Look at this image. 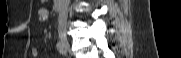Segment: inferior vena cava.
<instances>
[{"mask_svg": "<svg viewBox=\"0 0 181 58\" xmlns=\"http://www.w3.org/2000/svg\"><path fill=\"white\" fill-rule=\"evenodd\" d=\"M70 0H62V11L59 16V33H62L65 31L66 28V20H67V12H68V5Z\"/></svg>", "mask_w": 181, "mask_h": 58, "instance_id": "inferior-vena-cava-1", "label": "inferior vena cava"}]
</instances>
